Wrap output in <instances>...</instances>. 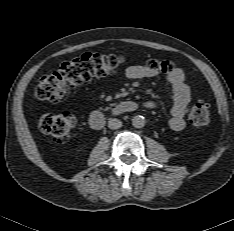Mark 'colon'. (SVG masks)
Masks as SVG:
<instances>
[{
    "mask_svg": "<svg viewBox=\"0 0 234 231\" xmlns=\"http://www.w3.org/2000/svg\"><path fill=\"white\" fill-rule=\"evenodd\" d=\"M123 63L117 55L84 53L79 57L61 64L53 73L40 78L34 94L40 100L60 101L66 93L94 77L115 72ZM147 66L157 73L167 74L173 65L167 60H149ZM210 112L206 102L199 100L191 108L189 120L191 125L200 128L209 124ZM77 119L73 112L64 111L58 114H45L40 118L41 131L49 135L54 142L64 143L76 126Z\"/></svg>",
    "mask_w": 234,
    "mask_h": 231,
    "instance_id": "5ec220e1",
    "label": "colon"
}]
</instances>
